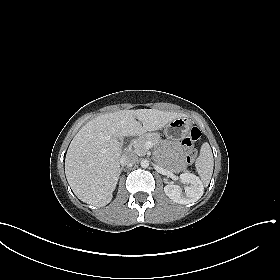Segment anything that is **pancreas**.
Wrapping results in <instances>:
<instances>
[{"label":"pancreas","mask_w":280,"mask_h":280,"mask_svg":"<svg viewBox=\"0 0 280 280\" xmlns=\"http://www.w3.org/2000/svg\"><path fill=\"white\" fill-rule=\"evenodd\" d=\"M148 141H151L154 144H156L160 141V135L157 133H145L138 137L132 142V145L134 147V153H136L137 155H145L147 152L145 144Z\"/></svg>","instance_id":"obj_1"}]
</instances>
